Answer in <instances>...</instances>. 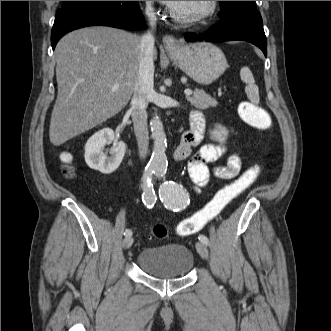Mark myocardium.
Segmentation results:
<instances>
[{
	"mask_svg": "<svg viewBox=\"0 0 331 331\" xmlns=\"http://www.w3.org/2000/svg\"><path fill=\"white\" fill-rule=\"evenodd\" d=\"M217 8V1H205V6L199 12L192 15H182L174 11L173 8L169 9L171 17L182 24L191 25L199 23L214 14Z\"/></svg>",
	"mask_w": 331,
	"mask_h": 331,
	"instance_id": "1",
	"label": "myocardium"
}]
</instances>
